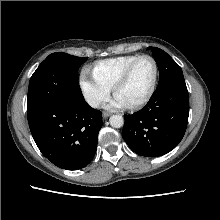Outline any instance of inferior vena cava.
Segmentation results:
<instances>
[{"mask_svg": "<svg viewBox=\"0 0 220 220\" xmlns=\"http://www.w3.org/2000/svg\"><path fill=\"white\" fill-rule=\"evenodd\" d=\"M91 105L94 106V107H96V106L98 105V101L92 100V101H91Z\"/></svg>", "mask_w": 220, "mask_h": 220, "instance_id": "inferior-vena-cava-1", "label": "inferior vena cava"}]
</instances>
